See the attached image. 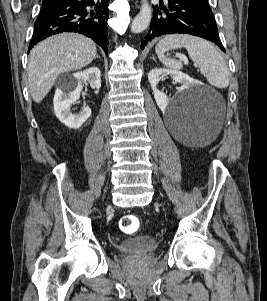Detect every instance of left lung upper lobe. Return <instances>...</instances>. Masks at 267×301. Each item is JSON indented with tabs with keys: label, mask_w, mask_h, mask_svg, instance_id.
I'll use <instances>...</instances> for the list:
<instances>
[{
	"label": "left lung upper lobe",
	"mask_w": 267,
	"mask_h": 301,
	"mask_svg": "<svg viewBox=\"0 0 267 301\" xmlns=\"http://www.w3.org/2000/svg\"><path fill=\"white\" fill-rule=\"evenodd\" d=\"M195 3H197L199 6L203 7L204 9L211 12V8L209 7L207 0H193Z\"/></svg>",
	"instance_id": "5c2ea615"
}]
</instances>
